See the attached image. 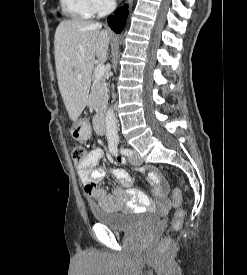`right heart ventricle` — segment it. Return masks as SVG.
Masks as SVG:
<instances>
[{"label": "right heart ventricle", "instance_id": "1", "mask_svg": "<svg viewBox=\"0 0 247 275\" xmlns=\"http://www.w3.org/2000/svg\"><path fill=\"white\" fill-rule=\"evenodd\" d=\"M63 13L73 19H89L95 13L93 0H60Z\"/></svg>", "mask_w": 247, "mask_h": 275}]
</instances>
